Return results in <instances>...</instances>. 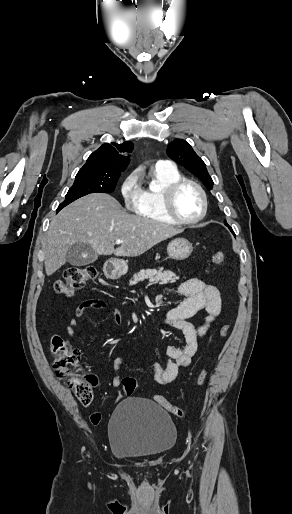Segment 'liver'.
<instances>
[{
    "instance_id": "obj_1",
    "label": "liver",
    "mask_w": 292,
    "mask_h": 514,
    "mask_svg": "<svg viewBox=\"0 0 292 514\" xmlns=\"http://www.w3.org/2000/svg\"><path fill=\"white\" fill-rule=\"evenodd\" d=\"M184 230L127 214L108 194H88L66 206L52 218L44 244L47 276L66 262L67 252L76 242H86L99 256H140L159 242ZM116 240L121 246L114 250Z\"/></svg>"
}]
</instances>
